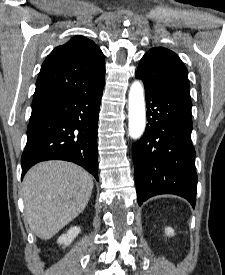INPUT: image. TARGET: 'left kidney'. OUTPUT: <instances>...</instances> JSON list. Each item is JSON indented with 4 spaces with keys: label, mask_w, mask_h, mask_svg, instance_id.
I'll list each match as a JSON object with an SVG mask.
<instances>
[{
    "label": "left kidney",
    "mask_w": 225,
    "mask_h": 275,
    "mask_svg": "<svg viewBox=\"0 0 225 275\" xmlns=\"http://www.w3.org/2000/svg\"><path fill=\"white\" fill-rule=\"evenodd\" d=\"M165 234L167 235V236H174V230L171 228V227H167V228H165Z\"/></svg>",
    "instance_id": "1"
}]
</instances>
